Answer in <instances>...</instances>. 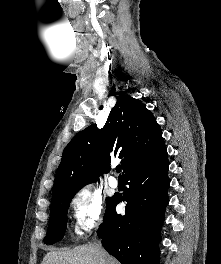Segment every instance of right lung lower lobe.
<instances>
[{
	"label": "right lung lower lobe",
	"mask_w": 221,
	"mask_h": 264,
	"mask_svg": "<svg viewBox=\"0 0 221 264\" xmlns=\"http://www.w3.org/2000/svg\"><path fill=\"white\" fill-rule=\"evenodd\" d=\"M167 152L154 162L124 175L129 188L123 196H114L105 212L98 236L102 245L121 264H159L161 225L168 204ZM127 201L125 215L116 205Z\"/></svg>",
	"instance_id": "98d812e1"
}]
</instances>
